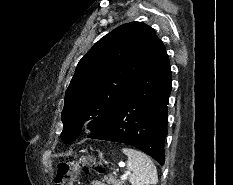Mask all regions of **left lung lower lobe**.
Masks as SVG:
<instances>
[{"label": "left lung lower lobe", "instance_id": "0a47b994", "mask_svg": "<svg viewBox=\"0 0 233 185\" xmlns=\"http://www.w3.org/2000/svg\"><path fill=\"white\" fill-rule=\"evenodd\" d=\"M171 81L165 53L133 85L109 121L89 137L132 145L163 165Z\"/></svg>", "mask_w": 233, "mask_h": 185}]
</instances>
